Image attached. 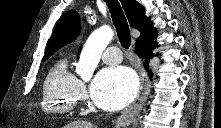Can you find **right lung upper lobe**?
<instances>
[{"mask_svg":"<svg viewBox=\"0 0 221 128\" xmlns=\"http://www.w3.org/2000/svg\"><path fill=\"white\" fill-rule=\"evenodd\" d=\"M131 27L139 30V42H150L157 37V31L150 19L144 15V8L135 0H120ZM80 32V18L76 11L67 12L56 25L47 46L46 55H52L59 48L72 42Z\"/></svg>","mask_w":221,"mask_h":128,"instance_id":"1","label":"right lung upper lobe"}]
</instances>
